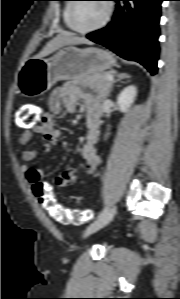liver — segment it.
Listing matches in <instances>:
<instances>
[{"label":"liver","instance_id":"6515ba94","mask_svg":"<svg viewBox=\"0 0 180 299\" xmlns=\"http://www.w3.org/2000/svg\"><path fill=\"white\" fill-rule=\"evenodd\" d=\"M80 44H91V42L83 37H78L71 32L60 31L56 37L50 40L45 47L37 55H35L34 58H43L64 46Z\"/></svg>","mask_w":180,"mask_h":299}]
</instances>
